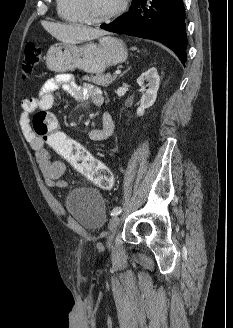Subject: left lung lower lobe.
Returning a JSON list of instances; mask_svg holds the SVG:
<instances>
[{"mask_svg":"<svg viewBox=\"0 0 233 328\" xmlns=\"http://www.w3.org/2000/svg\"><path fill=\"white\" fill-rule=\"evenodd\" d=\"M102 29L114 33L151 39L170 48L186 62V24L183 0H133L125 16Z\"/></svg>","mask_w":233,"mask_h":328,"instance_id":"left-lung-lower-lobe-1","label":"left lung lower lobe"}]
</instances>
